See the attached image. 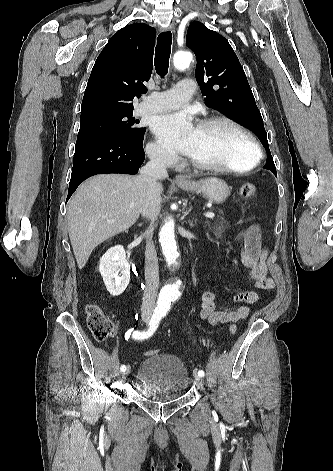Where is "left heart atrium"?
I'll use <instances>...</instances> for the list:
<instances>
[{
    "mask_svg": "<svg viewBox=\"0 0 333 471\" xmlns=\"http://www.w3.org/2000/svg\"><path fill=\"white\" fill-rule=\"evenodd\" d=\"M197 128L186 111L159 117L154 124L156 136L166 147L186 155L192 152Z\"/></svg>",
    "mask_w": 333,
    "mask_h": 471,
    "instance_id": "39dd6f15",
    "label": "left heart atrium"
}]
</instances>
